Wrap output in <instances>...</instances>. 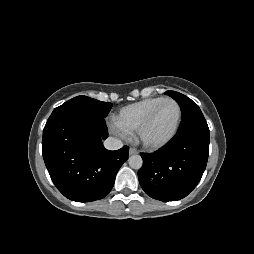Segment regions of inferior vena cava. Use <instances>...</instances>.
Segmentation results:
<instances>
[{"mask_svg": "<svg viewBox=\"0 0 254 254\" xmlns=\"http://www.w3.org/2000/svg\"><path fill=\"white\" fill-rule=\"evenodd\" d=\"M104 146L108 150H118L123 147V142L117 138L109 137L104 141Z\"/></svg>", "mask_w": 254, "mask_h": 254, "instance_id": "inferior-vena-cava-1", "label": "inferior vena cava"}]
</instances>
